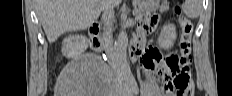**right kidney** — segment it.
I'll return each instance as SVG.
<instances>
[{
    "label": "right kidney",
    "mask_w": 232,
    "mask_h": 96,
    "mask_svg": "<svg viewBox=\"0 0 232 96\" xmlns=\"http://www.w3.org/2000/svg\"><path fill=\"white\" fill-rule=\"evenodd\" d=\"M88 47V40L82 35H70L63 40L62 53L68 58L81 55Z\"/></svg>",
    "instance_id": "right-kidney-1"
}]
</instances>
